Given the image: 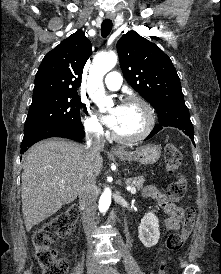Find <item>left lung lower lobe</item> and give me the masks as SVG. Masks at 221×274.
<instances>
[{"instance_id": "left-lung-lower-lobe-1", "label": "left lung lower lobe", "mask_w": 221, "mask_h": 274, "mask_svg": "<svg viewBox=\"0 0 221 274\" xmlns=\"http://www.w3.org/2000/svg\"><path fill=\"white\" fill-rule=\"evenodd\" d=\"M169 126L182 130L191 138L193 144H195L193 140V125L191 123L189 111L186 105L171 108L166 113L159 116V124L154 127L146 140L150 139L152 136L158 133L163 127Z\"/></svg>"}]
</instances>
